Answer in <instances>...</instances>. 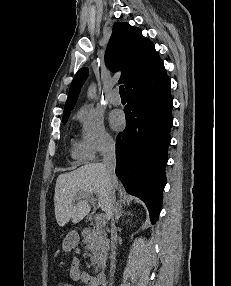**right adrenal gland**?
I'll list each match as a JSON object with an SVG mask.
<instances>
[{
	"label": "right adrenal gland",
	"instance_id": "obj_1",
	"mask_svg": "<svg viewBox=\"0 0 231 286\" xmlns=\"http://www.w3.org/2000/svg\"><path fill=\"white\" fill-rule=\"evenodd\" d=\"M114 213H115V220H116V222H118L120 216H122V215H133V214L131 213V211L124 212V211H123V206L121 205V203H116V204H115Z\"/></svg>",
	"mask_w": 231,
	"mask_h": 286
}]
</instances>
